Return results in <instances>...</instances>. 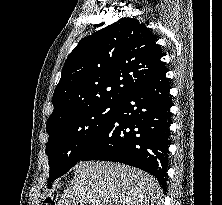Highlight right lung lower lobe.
Instances as JSON below:
<instances>
[{
    "label": "right lung lower lobe",
    "instance_id": "1",
    "mask_svg": "<svg viewBox=\"0 0 222 205\" xmlns=\"http://www.w3.org/2000/svg\"><path fill=\"white\" fill-rule=\"evenodd\" d=\"M166 69L131 89L81 160L120 162L140 168L167 188L170 85Z\"/></svg>",
    "mask_w": 222,
    "mask_h": 205
}]
</instances>
